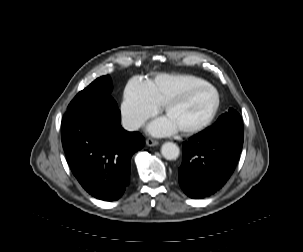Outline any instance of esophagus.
Returning a JSON list of instances; mask_svg holds the SVG:
<instances>
[{"label":"esophagus","mask_w":303,"mask_h":252,"mask_svg":"<svg viewBox=\"0 0 303 252\" xmlns=\"http://www.w3.org/2000/svg\"><path fill=\"white\" fill-rule=\"evenodd\" d=\"M159 144V141L152 139V138H148L146 140V145L148 146H157Z\"/></svg>","instance_id":"obj_1"}]
</instances>
